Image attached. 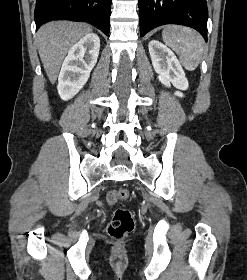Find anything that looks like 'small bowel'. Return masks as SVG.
Instances as JSON below:
<instances>
[{"label":"small bowel","instance_id":"obj_1","mask_svg":"<svg viewBox=\"0 0 247 280\" xmlns=\"http://www.w3.org/2000/svg\"><path fill=\"white\" fill-rule=\"evenodd\" d=\"M107 200L109 203H114L115 202V199H114V191H110L108 194H107Z\"/></svg>","mask_w":247,"mask_h":280}]
</instances>
